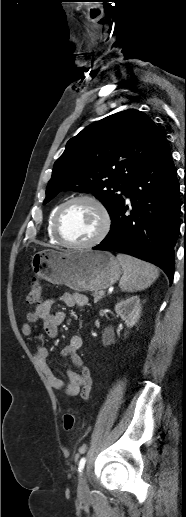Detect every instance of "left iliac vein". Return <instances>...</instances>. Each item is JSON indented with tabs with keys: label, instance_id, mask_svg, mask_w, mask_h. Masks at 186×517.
<instances>
[{
	"label": "left iliac vein",
	"instance_id": "1",
	"mask_svg": "<svg viewBox=\"0 0 186 517\" xmlns=\"http://www.w3.org/2000/svg\"><path fill=\"white\" fill-rule=\"evenodd\" d=\"M89 488L87 484V478L85 473H81L78 480V493L80 496H84L88 493Z\"/></svg>",
	"mask_w": 186,
	"mask_h": 517
}]
</instances>
